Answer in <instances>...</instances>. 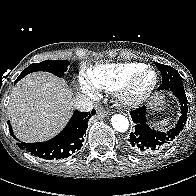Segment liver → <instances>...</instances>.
I'll list each match as a JSON object with an SVG mask.
<instances>
[{
    "label": "liver",
    "instance_id": "6515ba94",
    "mask_svg": "<svg viewBox=\"0 0 196 196\" xmlns=\"http://www.w3.org/2000/svg\"><path fill=\"white\" fill-rule=\"evenodd\" d=\"M72 89L47 72H34L13 88L8 106L16 136L41 142L57 134L71 116Z\"/></svg>",
    "mask_w": 196,
    "mask_h": 196
}]
</instances>
